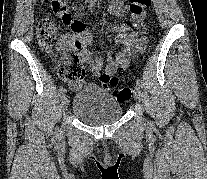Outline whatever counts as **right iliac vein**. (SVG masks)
Returning <instances> with one entry per match:
<instances>
[{
    "label": "right iliac vein",
    "instance_id": "63e3f726",
    "mask_svg": "<svg viewBox=\"0 0 207 179\" xmlns=\"http://www.w3.org/2000/svg\"><path fill=\"white\" fill-rule=\"evenodd\" d=\"M68 104H69V101H68L67 97L65 95H62L61 106H62V109H63L64 112L67 111Z\"/></svg>",
    "mask_w": 207,
    "mask_h": 179
}]
</instances>
